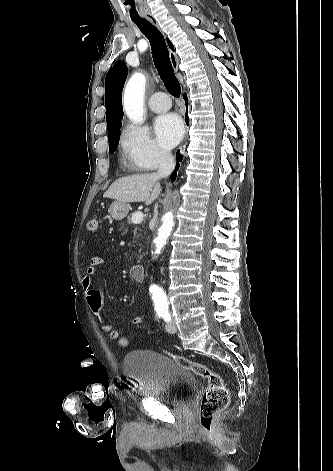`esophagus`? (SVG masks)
Returning <instances> with one entry per match:
<instances>
[{"label":"esophagus","instance_id":"obj_1","mask_svg":"<svg viewBox=\"0 0 333 471\" xmlns=\"http://www.w3.org/2000/svg\"><path fill=\"white\" fill-rule=\"evenodd\" d=\"M147 19L157 28H159V23H158V20L156 19V17L154 15H148L147 16ZM169 57H170V61H171V64H172V67L175 71H178V59L176 57V55L174 54L173 51H169Z\"/></svg>","mask_w":333,"mask_h":471}]
</instances>
